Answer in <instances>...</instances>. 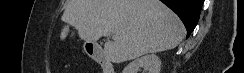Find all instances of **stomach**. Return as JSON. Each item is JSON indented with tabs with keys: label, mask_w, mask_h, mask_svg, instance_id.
Here are the masks:
<instances>
[{
	"label": "stomach",
	"mask_w": 244,
	"mask_h": 73,
	"mask_svg": "<svg viewBox=\"0 0 244 73\" xmlns=\"http://www.w3.org/2000/svg\"><path fill=\"white\" fill-rule=\"evenodd\" d=\"M84 49H85V50L87 49L86 43L84 44Z\"/></svg>",
	"instance_id": "stomach-1"
}]
</instances>
